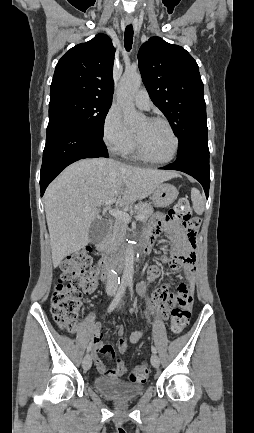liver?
<instances>
[{
  "mask_svg": "<svg viewBox=\"0 0 254 433\" xmlns=\"http://www.w3.org/2000/svg\"><path fill=\"white\" fill-rule=\"evenodd\" d=\"M176 176L105 158L83 159L67 167L45 193L53 266L89 243V227L101 205L116 198L120 207L128 206Z\"/></svg>",
  "mask_w": 254,
  "mask_h": 433,
  "instance_id": "6515ba94",
  "label": "liver"
}]
</instances>
